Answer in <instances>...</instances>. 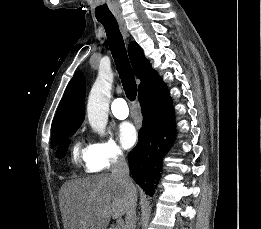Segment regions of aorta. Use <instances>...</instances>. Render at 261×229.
<instances>
[{
    "instance_id": "762f6f07",
    "label": "aorta",
    "mask_w": 261,
    "mask_h": 229,
    "mask_svg": "<svg viewBox=\"0 0 261 229\" xmlns=\"http://www.w3.org/2000/svg\"><path fill=\"white\" fill-rule=\"evenodd\" d=\"M112 80L113 72L110 66H100L87 102V117L94 131H103L108 123Z\"/></svg>"
}]
</instances>
